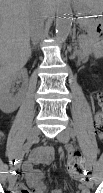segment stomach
I'll return each instance as SVG.
<instances>
[{
	"label": "stomach",
	"instance_id": "obj_1",
	"mask_svg": "<svg viewBox=\"0 0 103 193\" xmlns=\"http://www.w3.org/2000/svg\"><path fill=\"white\" fill-rule=\"evenodd\" d=\"M72 3L80 15H98L103 11V0H72Z\"/></svg>",
	"mask_w": 103,
	"mask_h": 193
}]
</instances>
